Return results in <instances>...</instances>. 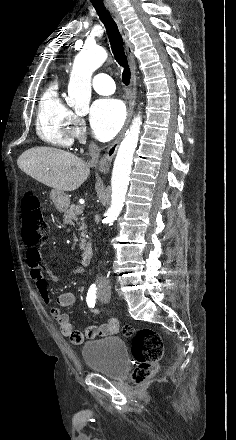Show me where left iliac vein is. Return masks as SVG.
<instances>
[{
  "label": "left iliac vein",
  "mask_w": 236,
  "mask_h": 440,
  "mask_svg": "<svg viewBox=\"0 0 236 440\" xmlns=\"http://www.w3.org/2000/svg\"><path fill=\"white\" fill-rule=\"evenodd\" d=\"M99 299L102 303H108L110 301V294L99 295Z\"/></svg>",
  "instance_id": "left-iliac-vein-1"
}]
</instances>
